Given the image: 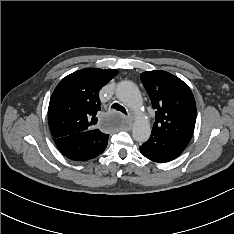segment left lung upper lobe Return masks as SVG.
<instances>
[{"label": "left lung upper lobe", "mask_w": 234, "mask_h": 234, "mask_svg": "<svg viewBox=\"0 0 234 234\" xmlns=\"http://www.w3.org/2000/svg\"><path fill=\"white\" fill-rule=\"evenodd\" d=\"M140 78L155 109L152 132L185 149L196 122V103L191 89L181 79L165 71L144 72Z\"/></svg>", "instance_id": "5c2ea615"}]
</instances>
